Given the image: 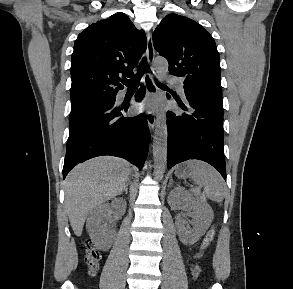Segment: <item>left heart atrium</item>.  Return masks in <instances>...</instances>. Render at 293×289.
Returning a JSON list of instances; mask_svg holds the SVG:
<instances>
[{
	"mask_svg": "<svg viewBox=\"0 0 293 289\" xmlns=\"http://www.w3.org/2000/svg\"><path fill=\"white\" fill-rule=\"evenodd\" d=\"M156 107V102L153 100H149L140 106L143 110H153Z\"/></svg>",
	"mask_w": 293,
	"mask_h": 289,
	"instance_id": "left-heart-atrium-1",
	"label": "left heart atrium"
}]
</instances>
